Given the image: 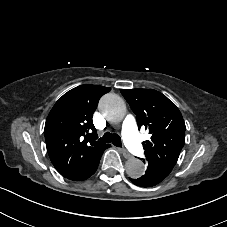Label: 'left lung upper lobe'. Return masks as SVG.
Wrapping results in <instances>:
<instances>
[{"instance_id":"left-lung-upper-lobe-1","label":"left lung upper lobe","mask_w":227,"mask_h":227,"mask_svg":"<svg viewBox=\"0 0 227 227\" xmlns=\"http://www.w3.org/2000/svg\"><path fill=\"white\" fill-rule=\"evenodd\" d=\"M138 127L145 126L151 139L144 141L146 163H154L170 173L185 143V123L177 106L162 93L152 89L120 90Z\"/></svg>"}]
</instances>
